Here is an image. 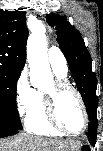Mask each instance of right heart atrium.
Segmentation results:
<instances>
[{
	"instance_id": "right-heart-atrium-1",
	"label": "right heart atrium",
	"mask_w": 103,
	"mask_h": 151,
	"mask_svg": "<svg viewBox=\"0 0 103 151\" xmlns=\"http://www.w3.org/2000/svg\"><path fill=\"white\" fill-rule=\"evenodd\" d=\"M35 98V91L31 88L26 73L22 72L15 85V103L18 114L23 117L30 112Z\"/></svg>"
}]
</instances>
